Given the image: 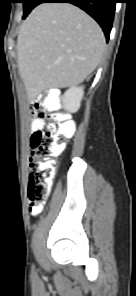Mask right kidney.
Instances as JSON below:
<instances>
[{
	"instance_id": "right-kidney-1",
	"label": "right kidney",
	"mask_w": 136,
	"mask_h": 296,
	"mask_svg": "<svg viewBox=\"0 0 136 296\" xmlns=\"http://www.w3.org/2000/svg\"><path fill=\"white\" fill-rule=\"evenodd\" d=\"M84 87L83 86H73L68 89L63 97L62 103L64 105L65 110L69 112H76L80 108V103L84 95Z\"/></svg>"
}]
</instances>
